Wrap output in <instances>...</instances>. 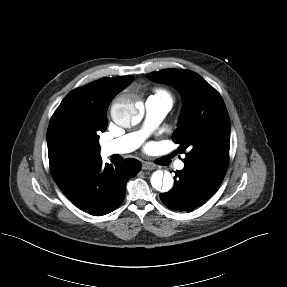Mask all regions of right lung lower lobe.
Here are the masks:
<instances>
[{
  "label": "right lung lower lobe",
  "mask_w": 287,
  "mask_h": 287,
  "mask_svg": "<svg viewBox=\"0 0 287 287\" xmlns=\"http://www.w3.org/2000/svg\"><path fill=\"white\" fill-rule=\"evenodd\" d=\"M141 163L133 158L102 164L95 162L66 194L79 209L94 216L115 210L124 200L127 181L136 176Z\"/></svg>",
  "instance_id": "right-lung-lower-lobe-1"
}]
</instances>
